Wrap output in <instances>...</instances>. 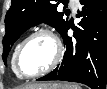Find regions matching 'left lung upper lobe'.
<instances>
[{"label": "left lung upper lobe", "instance_id": "left-lung-upper-lobe-1", "mask_svg": "<svg viewBox=\"0 0 107 89\" xmlns=\"http://www.w3.org/2000/svg\"><path fill=\"white\" fill-rule=\"evenodd\" d=\"M61 0H12L5 17L6 34L3 38L2 58L6 62L10 46L30 27L39 23H47L60 34L68 25L64 19L67 13L58 12L57 6Z\"/></svg>", "mask_w": 107, "mask_h": 89}]
</instances>
